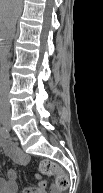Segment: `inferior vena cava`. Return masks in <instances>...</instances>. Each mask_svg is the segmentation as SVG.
I'll list each match as a JSON object with an SVG mask.
<instances>
[{
    "label": "inferior vena cava",
    "instance_id": "1",
    "mask_svg": "<svg viewBox=\"0 0 103 193\" xmlns=\"http://www.w3.org/2000/svg\"><path fill=\"white\" fill-rule=\"evenodd\" d=\"M15 31V25L13 26L12 32L9 33L3 48V57L1 63V75H0V116L10 117V104H9V68L10 63L7 61V56L9 55V50L11 47V40L13 37V32Z\"/></svg>",
    "mask_w": 103,
    "mask_h": 193
}]
</instances>
